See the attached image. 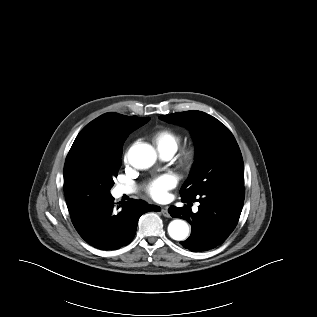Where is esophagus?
Returning a JSON list of instances; mask_svg holds the SVG:
<instances>
[{
  "mask_svg": "<svg viewBox=\"0 0 317 317\" xmlns=\"http://www.w3.org/2000/svg\"><path fill=\"white\" fill-rule=\"evenodd\" d=\"M161 214L165 217H170L167 207H162Z\"/></svg>",
  "mask_w": 317,
  "mask_h": 317,
  "instance_id": "34e87169",
  "label": "esophagus"
}]
</instances>
